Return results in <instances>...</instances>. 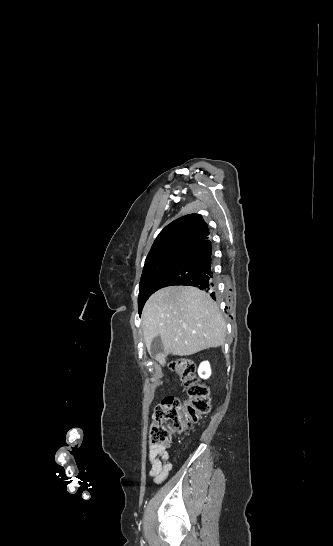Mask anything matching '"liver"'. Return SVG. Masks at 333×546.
<instances>
[{
    "instance_id": "liver-1",
    "label": "liver",
    "mask_w": 333,
    "mask_h": 546,
    "mask_svg": "<svg viewBox=\"0 0 333 546\" xmlns=\"http://www.w3.org/2000/svg\"><path fill=\"white\" fill-rule=\"evenodd\" d=\"M144 342L151 354L153 339L160 336L167 354L189 356L224 344L226 324L218 305L205 291L191 286H169L156 291L142 312Z\"/></svg>"
}]
</instances>
